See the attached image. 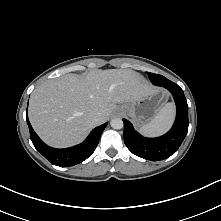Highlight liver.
Instances as JSON below:
<instances>
[{
  "mask_svg": "<svg viewBox=\"0 0 221 221\" xmlns=\"http://www.w3.org/2000/svg\"><path fill=\"white\" fill-rule=\"evenodd\" d=\"M155 89L130 69L67 74L41 84L29 100V120L47 144L64 148L80 143L107 121L117 103H129ZM101 113V121L94 115Z\"/></svg>",
  "mask_w": 221,
  "mask_h": 221,
  "instance_id": "liver-1",
  "label": "liver"
}]
</instances>
